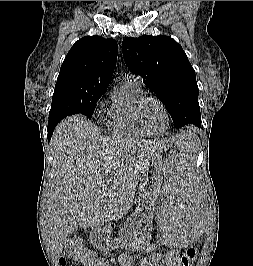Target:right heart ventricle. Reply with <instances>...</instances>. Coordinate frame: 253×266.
Listing matches in <instances>:
<instances>
[{
	"label": "right heart ventricle",
	"instance_id": "obj_1",
	"mask_svg": "<svg viewBox=\"0 0 253 266\" xmlns=\"http://www.w3.org/2000/svg\"><path fill=\"white\" fill-rule=\"evenodd\" d=\"M143 95L141 84L132 78H126L114 90L107 113V127L111 133L127 138L146 136L137 127L133 117L134 105Z\"/></svg>",
	"mask_w": 253,
	"mask_h": 266
}]
</instances>
